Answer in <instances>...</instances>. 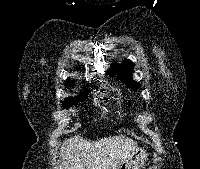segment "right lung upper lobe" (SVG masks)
I'll return each mask as SVG.
<instances>
[{
  "label": "right lung upper lobe",
  "mask_w": 200,
  "mask_h": 169,
  "mask_svg": "<svg viewBox=\"0 0 200 169\" xmlns=\"http://www.w3.org/2000/svg\"><path fill=\"white\" fill-rule=\"evenodd\" d=\"M70 81V80H69ZM85 94H88V91H85V93L84 94H82V95H85ZM82 95H80V96H82ZM69 99H72V98H69ZM68 100V99H67Z\"/></svg>",
  "instance_id": "cb5924a9"
}]
</instances>
